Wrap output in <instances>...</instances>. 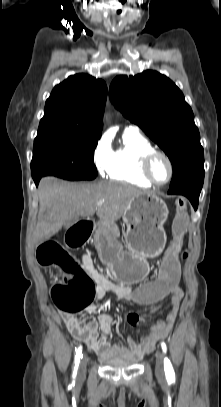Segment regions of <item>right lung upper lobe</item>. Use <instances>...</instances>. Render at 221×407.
Segmentation results:
<instances>
[{"mask_svg": "<svg viewBox=\"0 0 221 407\" xmlns=\"http://www.w3.org/2000/svg\"><path fill=\"white\" fill-rule=\"evenodd\" d=\"M107 96L106 84L76 74L55 86L45 104L38 132H67L100 138Z\"/></svg>", "mask_w": 221, "mask_h": 407, "instance_id": "cb5924a9", "label": "right lung upper lobe"}]
</instances>
